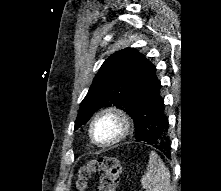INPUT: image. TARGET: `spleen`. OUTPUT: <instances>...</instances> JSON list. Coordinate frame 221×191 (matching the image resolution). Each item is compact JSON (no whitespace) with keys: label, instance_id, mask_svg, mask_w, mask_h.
<instances>
[{"label":"spleen","instance_id":"3e777b00","mask_svg":"<svg viewBox=\"0 0 221 191\" xmlns=\"http://www.w3.org/2000/svg\"><path fill=\"white\" fill-rule=\"evenodd\" d=\"M142 188L146 191H171L170 172L160 157L151 152L147 172L141 179Z\"/></svg>","mask_w":221,"mask_h":191}]
</instances>
